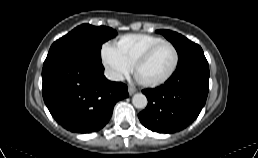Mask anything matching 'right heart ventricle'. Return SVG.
<instances>
[{
	"label": "right heart ventricle",
	"mask_w": 258,
	"mask_h": 158,
	"mask_svg": "<svg viewBox=\"0 0 258 158\" xmlns=\"http://www.w3.org/2000/svg\"><path fill=\"white\" fill-rule=\"evenodd\" d=\"M158 42L156 38H135L124 42L121 53L129 62H134L140 54Z\"/></svg>",
	"instance_id": "e07e8e85"
}]
</instances>
